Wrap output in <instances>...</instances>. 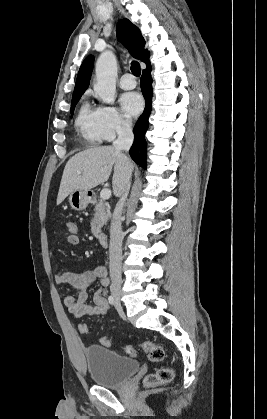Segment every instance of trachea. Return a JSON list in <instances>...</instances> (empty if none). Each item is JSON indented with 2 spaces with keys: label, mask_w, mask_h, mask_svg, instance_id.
<instances>
[{
  "label": "trachea",
  "mask_w": 267,
  "mask_h": 419,
  "mask_svg": "<svg viewBox=\"0 0 267 419\" xmlns=\"http://www.w3.org/2000/svg\"><path fill=\"white\" fill-rule=\"evenodd\" d=\"M131 71L135 76H140V64L137 61H132L131 63Z\"/></svg>",
  "instance_id": "3493384b"
}]
</instances>
